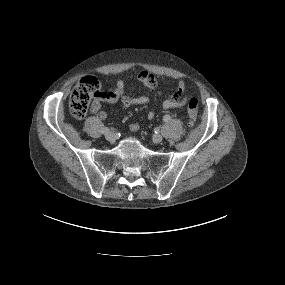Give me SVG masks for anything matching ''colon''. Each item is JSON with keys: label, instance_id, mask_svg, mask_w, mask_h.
<instances>
[{"label": "colon", "instance_id": "1", "mask_svg": "<svg viewBox=\"0 0 285 285\" xmlns=\"http://www.w3.org/2000/svg\"><path fill=\"white\" fill-rule=\"evenodd\" d=\"M100 85L93 76L83 77L74 87L69 98V110L76 119L87 116L92 102L100 95ZM188 124L194 125L198 117V100L191 98L187 106Z\"/></svg>", "mask_w": 285, "mask_h": 285}]
</instances>
